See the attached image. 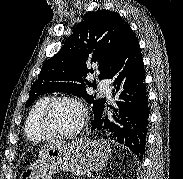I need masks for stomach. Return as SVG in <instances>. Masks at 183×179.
Segmentation results:
<instances>
[{
  "label": "stomach",
  "instance_id": "obj_1",
  "mask_svg": "<svg viewBox=\"0 0 183 179\" xmlns=\"http://www.w3.org/2000/svg\"><path fill=\"white\" fill-rule=\"evenodd\" d=\"M110 156V147L103 140L51 141L41 148L37 160L25 168L20 179H52L61 171L84 175L101 170Z\"/></svg>",
  "mask_w": 183,
  "mask_h": 179
}]
</instances>
